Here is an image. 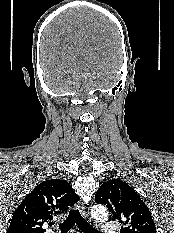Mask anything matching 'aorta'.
Returning <instances> with one entry per match:
<instances>
[{
  "mask_svg": "<svg viewBox=\"0 0 174 233\" xmlns=\"http://www.w3.org/2000/svg\"><path fill=\"white\" fill-rule=\"evenodd\" d=\"M91 216L99 222H105L108 220L109 213L106 207L94 205L91 209Z\"/></svg>",
  "mask_w": 174,
  "mask_h": 233,
  "instance_id": "aorta-1",
  "label": "aorta"
}]
</instances>
